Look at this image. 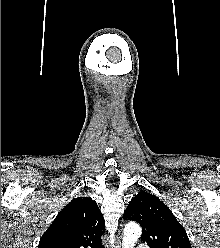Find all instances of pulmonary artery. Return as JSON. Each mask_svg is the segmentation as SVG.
Here are the masks:
<instances>
[{"instance_id": "pulmonary-artery-1", "label": "pulmonary artery", "mask_w": 220, "mask_h": 248, "mask_svg": "<svg viewBox=\"0 0 220 248\" xmlns=\"http://www.w3.org/2000/svg\"><path fill=\"white\" fill-rule=\"evenodd\" d=\"M138 248H149V247L146 245H139Z\"/></svg>"}]
</instances>
